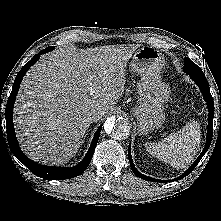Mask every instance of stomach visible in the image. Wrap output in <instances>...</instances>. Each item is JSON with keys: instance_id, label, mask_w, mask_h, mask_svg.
<instances>
[{"instance_id": "stomach-1", "label": "stomach", "mask_w": 221, "mask_h": 221, "mask_svg": "<svg viewBox=\"0 0 221 221\" xmlns=\"http://www.w3.org/2000/svg\"><path fill=\"white\" fill-rule=\"evenodd\" d=\"M164 64V55L152 46L139 48L131 61L132 71L141 77L137 85L140 99L132 110L140 134L146 135L160 128L165 121L164 104L169 100L171 91L160 80Z\"/></svg>"}]
</instances>
